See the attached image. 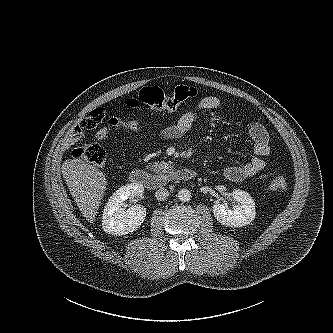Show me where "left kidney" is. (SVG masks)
<instances>
[{
	"label": "left kidney",
	"instance_id": "5707ae66",
	"mask_svg": "<svg viewBox=\"0 0 333 333\" xmlns=\"http://www.w3.org/2000/svg\"><path fill=\"white\" fill-rule=\"evenodd\" d=\"M237 201L233 208L227 204L216 202L213 205V214L217 221L230 227H242L250 224L255 218V202L249 193L235 189L231 193Z\"/></svg>",
	"mask_w": 333,
	"mask_h": 333
}]
</instances>
